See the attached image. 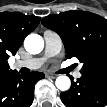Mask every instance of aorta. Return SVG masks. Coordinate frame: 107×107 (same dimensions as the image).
<instances>
[{
	"label": "aorta",
	"instance_id": "obj_1",
	"mask_svg": "<svg viewBox=\"0 0 107 107\" xmlns=\"http://www.w3.org/2000/svg\"><path fill=\"white\" fill-rule=\"evenodd\" d=\"M24 47L30 54H38L44 48V40L38 34H29L24 40ZM56 87L61 91L69 90L71 81L69 77L61 75L55 81Z\"/></svg>",
	"mask_w": 107,
	"mask_h": 107
}]
</instances>
